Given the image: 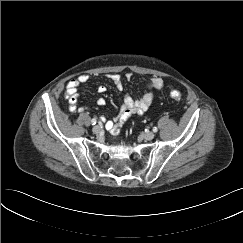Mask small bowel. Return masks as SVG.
<instances>
[{
	"mask_svg": "<svg viewBox=\"0 0 243 243\" xmlns=\"http://www.w3.org/2000/svg\"><path fill=\"white\" fill-rule=\"evenodd\" d=\"M127 78H130L131 75L127 74ZM108 78L115 85V87L122 91L124 89V83L120 75L117 74H109ZM90 80V76L87 74H83L78 76L77 78L71 79L66 84V94L69 98L70 109L74 112H83L85 110L84 107H76L77 99H78V90L79 87ZM145 87L148 89V92L143 93L139 98L134 99L130 95L126 94L123 100L121 107L119 108L116 116L109 120L106 123V128L111 132L112 135L117 136L120 134L122 124L131 116L137 115L141 117L143 113L147 110L154 99V95L156 91H159L163 87V80L159 77H153L146 81ZM99 93H104L106 91V87L104 85H99L97 88ZM96 104L99 106L105 105L104 98H98L96 100Z\"/></svg>",
	"mask_w": 243,
	"mask_h": 243,
	"instance_id": "obj_1",
	"label": "small bowel"
}]
</instances>
